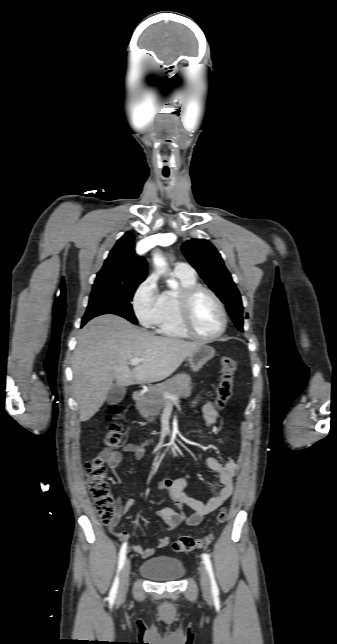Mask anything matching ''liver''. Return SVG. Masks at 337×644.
I'll return each instance as SVG.
<instances>
[{
    "label": "liver",
    "instance_id": "obj_1",
    "mask_svg": "<svg viewBox=\"0 0 337 644\" xmlns=\"http://www.w3.org/2000/svg\"><path fill=\"white\" fill-rule=\"evenodd\" d=\"M201 345L155 336L116 315L92 319L79 331L72 358L80 420H89L102 407L113 381L124 387L164 380ZM133 358L142 362L131 370Z\"/></svg>",
    "mask_w": 337,
    "mask_h": 644
}]
</instances>
